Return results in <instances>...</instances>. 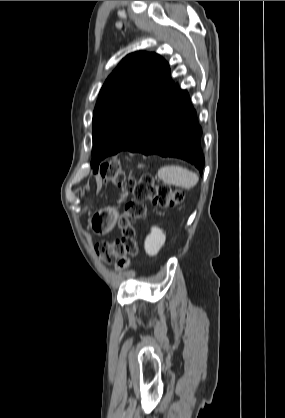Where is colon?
Returning <instances> with one entry per match:
<instances>
[{
    "label": "colon",
    "mask_w": 285,
    "mask_h": 418,
    "mask_svg": "<svg viewBox=\"0 0 285 418\" xmlns=\"http://www.w3.org/2000/svg\"><path fill=\"white\" fill-rule=\"evenodd\" d=\"M97 175L104 182L112 181L119 186H125L134 196V200L126 204L118 223L121 236L112 241L100 242L96 247L98 257L104 261L111 262L122 257L119 267L123 268L128 265L129 259L137 258L140 254L134 222L146 215L147 202L151 201L154 206L170 209L181 202L183 193L166 184H155L148 174L143 175L137 183H133L122 171L117 160L101 166Z\"/></svg>",
    "instance_id": "obj_1"
}]
</instances>
